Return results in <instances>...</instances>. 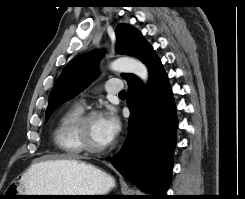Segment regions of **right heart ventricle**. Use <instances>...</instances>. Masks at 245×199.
Wrapping results in <instances>:
<instances>
[{"instance_id": "e07e8e85", "label": "right heart ventricle", "mask_w": 245, "mask_h": 199, "mask_svg": "<svg viewBox=\"0 0 245 199\" xmlns=\"http://www.w3.org/2000/svg\"><path fill=\"white\" fill-rule=\"evenodd\" d=\"M82 113L83 110L79 106L68 108L61 115L54 129L53 137L56 146L70 156H76L82 152L72 134L73 123Z\"/></svg>"}]
</instances>
